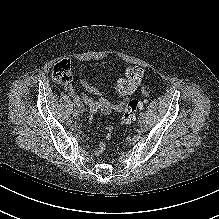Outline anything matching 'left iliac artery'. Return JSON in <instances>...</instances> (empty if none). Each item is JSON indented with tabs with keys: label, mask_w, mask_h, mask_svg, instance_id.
I'll list each match as a JSON object with an SVG mask.
<instances>
[{
	"label": "left iliac artery",
	"mask_w": 219,
	"mask_h": 219,
	"mask_svg": "<svg viewBox=\"0 0 219 219\" xmlns=\"http://www.w3.org/2000/svg\"><path fill=\"white\" fill-rule=\"evenodd\" d=\"M140 115H145L144 112H141Z\"/></svg>",
	"instance_id": "44dca946"
}]
</instances>
